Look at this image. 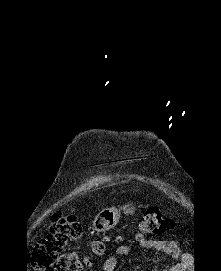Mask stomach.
Here are the masks:
<instances>
[{"label":"stomach","mask_w":221,"mask_h":271,"mask_svg":"<svg viewBox=\"0 0 221 271\" xmlns=\"http://www.w3.org/2000/svg\"><path fill=\"white\" fill-rule=\"evenodd\" d=\"M125 213H130V209H126ZM120 213L117 207H107V209H102L94 217L93 227L96 231H105V229H110L118 223Z\"/></svg>","instance_id":"stomach-1"}]
</instances>
